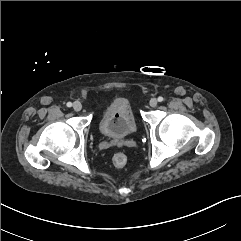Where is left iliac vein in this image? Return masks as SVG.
I'll use <instances>...</instances> for the list:
<instances>
[{"instance_id":"obj_1","label":"left iliac vein","mask_w":241,"mask_h":241,"mask_svg":"<svg viewBox=\"0 0 241 241\" xmlns=\"http://www.w3.org/2000/svg\"><path fill=\"white\" fill-rule=\"evenodd\" d=\"M157 99H155V98H152L151 100H150V102H149V104H150V106L151 107H156L157 106Z\"/></svg>"}]
</instances>
